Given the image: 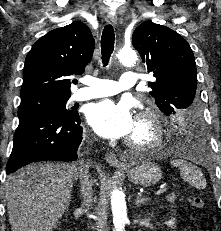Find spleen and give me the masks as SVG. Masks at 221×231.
Here are the masks:
<instances>
[{
  "label": "spleen",
  "instance_id": "1",
  "mask_svg": "<svg viewBox=\"0 0 221 231\" xmlns=\"http://www.w3.org/2000/svg\"><path fill=\"white\" fill-rule=\"evenodd\" d=\"M171 164L179 168L181 177L191 186L197 189H204L206 187V180L197 166L182 159L172 160Z\"/></svg>",
  "mask_w": 221,
  "mask_h": 231
}]
</instances>
